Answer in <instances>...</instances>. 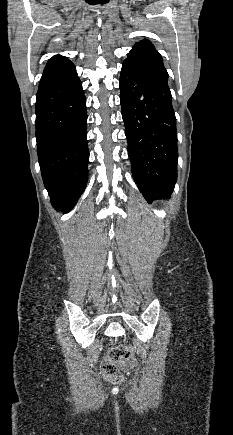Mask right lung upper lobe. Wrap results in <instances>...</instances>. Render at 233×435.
Returning <instances> with one entry per match:
<instances>
[{
  "label": "right lung upper lobe",
  "mask_w": 233,
  "mask_h": 435,
  "mask_svg": "<svg viewBox=\"0 0 233 435\" xmlns=\"http://www.w3.org/2000/svg\"><path fill=\"white\" fill-rule=\"evenodd\" d=\"M75 73V66L68 58L56 55L52 57L46 64L42 78L39 83L38 91L50 85L58 83Z\"/></svg>",
  "instance_id": "cb5924a9"
}]
</instances>
